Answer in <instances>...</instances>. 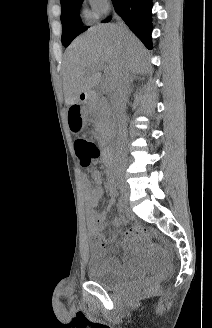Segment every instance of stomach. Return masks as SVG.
<instances>
[{
  "label": "stomach",
  "mask_w": 212,
  "mask_h": 328,
  "mask_svg": "<svg viewBox=\"0 0 212 328\" xmlns=\"http://www.w3.org/2000/svg\"><path fill=\"white\" fill-rule=\"evenodd\" d=\"M82 103L81 102H68L66 115L69 121L67 122V127L72 128V135L82 134V124L85 123V118L81 117Z\"/></svg>",
  "instance_id": "0dacf381"
}]
</instances>
